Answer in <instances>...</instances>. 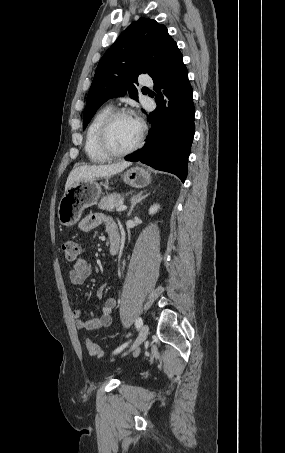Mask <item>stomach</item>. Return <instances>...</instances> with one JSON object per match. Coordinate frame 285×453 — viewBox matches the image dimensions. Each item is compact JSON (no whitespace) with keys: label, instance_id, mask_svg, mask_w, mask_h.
Wrapping results in <instances>:
<instances>
[{"label":"stomach","instance_id":"1","mask_svg":"<svg viewBox=\"0 0 285 453\" xmlns=\"http://www.w3.org/2000/svg\"><path fill=\"white\" fill-rule=\"evenodd\" d=\"M126 184L134 188H144L151 182V175L141 167H133L122 175ZM101 185L97 180L74 183L63 195L58 206L60 224L70 227L81 218L84 209L95 205L101 196Z\"/></svg>","mask_w":285,"mask_h":453}]
</instances>
